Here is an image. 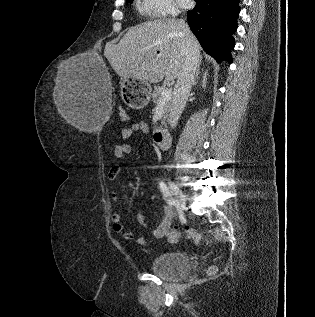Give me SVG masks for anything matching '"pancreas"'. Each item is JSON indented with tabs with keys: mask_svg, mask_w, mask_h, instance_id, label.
Returning <instances> with one entry per match:
<instances>
[{
	"mask_svg": "<svg viewBox=\"0 0 315 317\" xmlns=\"http://www.w3.org/2000/svg\"><path fill=\"white\" fill-rule=\"evenodd\" d=\"M164 90H167L166 86H157L155 87L153 94H152V98H153V102L155 104H159L161 102V98H162V92ZM170 109V100H166L165 104H164V111H163V118H166L168 112Z\"/></svg>",
	"mask_w": 315,
	"mask_h": 317,
	"instance_id": "cf45deb5",
	"label": "pancreas"
}]
</instances>
